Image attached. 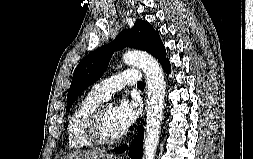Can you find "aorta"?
<instances>
[{
    "mask_svg": "<svg viewBox=\"0 0 253 159\" xmlns=\"http://www.w3.org/2000/svg\"><path fill=\"white\" fill-rule=\"evenodd\" d=\"M126 64L140 67L146 74L147 104L144 135V158L154 159L163 116L165 81L163 70L151 55L140 51H128L123 55Z\"/></svg>",
    "mask_w": 253,
    "mask_h": 159,
    "instance_id": "762f6f07",
    "label": "aorta"
}]
</instances>
